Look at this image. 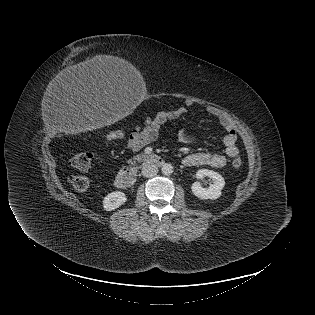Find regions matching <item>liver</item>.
I'll return each mask as SVG.
<instances>
[{
	"label": "liver",
	"instance_id": "obj_1",
	"mask_svg": "<svg viewBox=\"0 0 315 315\" xmlns=\"http://www.w3.org/2000/svg\"><path fill=\"white\" fill-rule=\"evenodd\" d=\"M58 78L68 84L136 82L140 73L125 59L111 55H96L84 62L65 68Z\"/></svg>",
	"mask_w": 315,
	"mask_h": 315
}]
</instances>
